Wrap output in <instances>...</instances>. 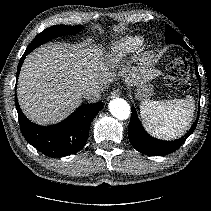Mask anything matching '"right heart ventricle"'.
Wrapping results in <instances>:
<instances>
[{
  "instance_id": "obj_1",
  "label": "right heart ventricle",
  "mask_w": 211,
  "mask_h": 211,
  "mask_svg": "<svg viewBox=\"0 0 211 211\" xmlns=\"http://www.w3.org/2000/svg\"><path fill=\"white\" fill-rule=\"evenodd\" d=\"M144 43L143 37L139 35H126L120 38L112 47L114 59H120L139 49Z\"/></svg>"
}]
</instances>
